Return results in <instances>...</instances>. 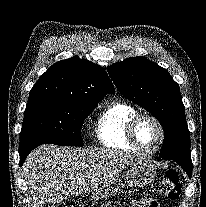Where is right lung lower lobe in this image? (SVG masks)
<instances>
[{
    "label": "right lung lower lobe",
    "instance_id": "obj_1",
    "mask_svg": "<svg viewBox=\"0 0 206 207\" xmlns=\"http://www.w3.org/2000/svg\"><path fill=\"white\" fill-rule=\"evenodd\" d=\"M30 153V151H26V152H19L20 154V166H22L24 160L26 159L27 155Z\"/></svg>",
    "mask_w": 206,
    "mask_h": 207
}]
</instances>
